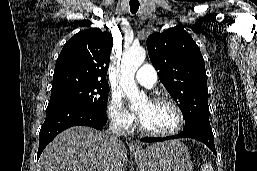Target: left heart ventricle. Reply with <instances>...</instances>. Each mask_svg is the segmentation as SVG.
I'll return each instance as SVG.
<instances>
[{
  "label": "left heart ventricle",
  "instance_id": "1",
  "mask_svg": "<svg viewBox=\"0 0 257 171\" xmlns=\"http://www.w3.org/2000/svg\"><path fill=\"white\" fill-rule=\"evenodd\" d=\"M137 111L142 124L150 130L168 131L177 124V114L168 103L146 101Z\"/></svg>",
  "mask_w": 257,
  "mask_h": 171
}]
</instances>
